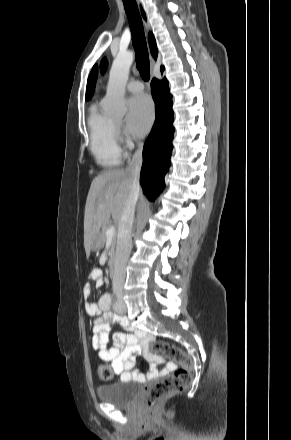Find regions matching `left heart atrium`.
<instances>
[{
  "instance_id": "left-heart-atrium-1",
  "label": "left heart atrium",
  "mask_w": 291,
  "mask_h": 440,
  "mask_svg": "<svg viewBox=\"0 0 291 440\" xmlns=\"http://www.w3.org/2000/svg\"><path fill=\"white\" fill-rule=\"evenodd\" d=\"M154 120V107L146 95H135L128 101L126 127L128 132L136 137L145 135Z\"/></svg>"
}]
</instances>
